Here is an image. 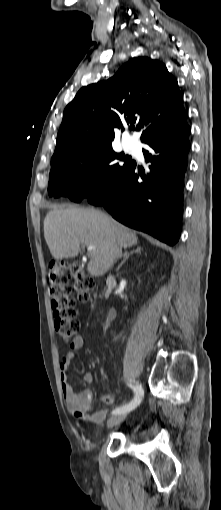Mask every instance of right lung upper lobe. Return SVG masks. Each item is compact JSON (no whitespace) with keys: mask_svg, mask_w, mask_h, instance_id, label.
<instances>
[{"mask_svg":"<svg viewBox=\"0 0 221 510\" xmlns=\"http://www.w3.org/2000/svg\"><path fill=\"white\" fill-rule=\"evenodd\" d=\"M183 96L166 66L148 57L125 63L108 80L82 87L63 114L51 165L71 151L111 145L124 126L145 138L186 123Z\"/></svg>","mask_w":221,"mask_h":510,"instance_id":"obj_1","label":"right lung upper lobe"}]
</instances>
